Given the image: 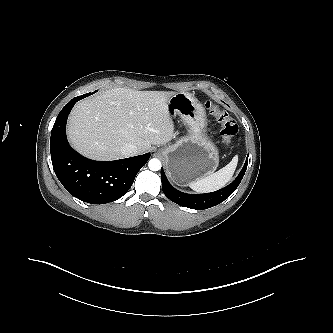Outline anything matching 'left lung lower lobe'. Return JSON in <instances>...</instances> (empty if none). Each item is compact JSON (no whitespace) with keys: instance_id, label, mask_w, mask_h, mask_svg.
Segmentation results:
<instances>
[{"instance_id":"0a47b994","label":"left lung lower lobe","mask_w":333,"mask_h":333,"mask_svg":"<svg viewBox=\"0 0 333 333\" xmlns=\"http://www.w3.org/2000/svg\"><path fill=\"white\" fill-rule=\"evenodd\" d=\"M247 163L248 157L239 175L228 186L215 192L196 195L183 193L175 189L167 180L163 169H161L162 189L167 198L183 207L196 210L208 209L220 204L235 191L245 174Z\"/></svg>"}]
</instances>
